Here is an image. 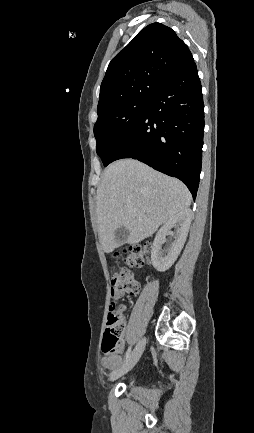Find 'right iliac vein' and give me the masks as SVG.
Instances as JSON below:
<instances>
[{"label":"right iliac vein","instance_id":"63e3f726","mask_svg":"<svg viewBox=\"0 0 254 433\" xmlns=\"http://www.w3.org/2000/svg\"><path fill=\"white\" fill-rule=\"evenodd\" d=\"M145 344H146L145 338L141 339L138 342V344L136 345V347L134 348V350L132 351L128 359L124 362V364L119 368L115 369L111 373L110 375L111 381L117 380L118 378H120L121 376L129 372L135 366V364L138 362L139 358L141 357L144 351Z\"/></svg>","mask_w":254,"mask_h":433}]
</instances>
